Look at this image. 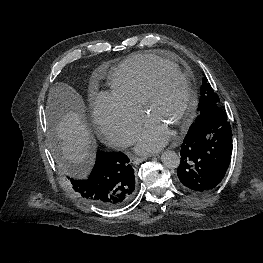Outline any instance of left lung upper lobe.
<instances>
[{
    "label": "left lung upper lobe",
    "instance_id": "left-lung-upper-lobe-1",
    "mask_svg": "<svg viewBox=\"0 0 263 263\" xmlns=\"http://www.w3.org/2000/svg\"><path fill=\"white\" fill-rule=\"evenodd\" d=\"M200 92L201 96L198 105L199 115L196 118L195 122L192 123L189 130H194L199 122L204 118V116L212 112L214 108L219 107V97L214 92L206 78H203L202 80V87L200 89Z\"/></svg>",
    "mask_w": 263,
    "mask_h": 263
}]
</instances>
